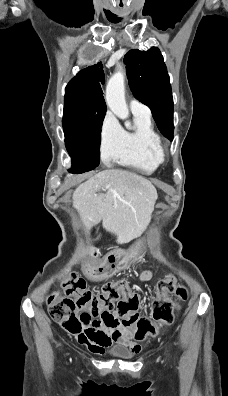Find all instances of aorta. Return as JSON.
<instances>
[{
  "mask_svg": "<svg viewBox=\"0 0 228 396\" xmlns=\"http://www.w3.org/2000/svg\"><path fill=\"white\" fill-rule=\"evenodd\" d=\"M125 74L120 68L108 81L106 87V103L110 110L120 119L125 120L129 116L128 107L125 101ZM125 126L130 129V122Z\"/></svg>",
  "mask_w": 228,
  "mask_h": 396,
  "instance_id": "obj_1",
  "label": "aorta"
}]
</instances>
